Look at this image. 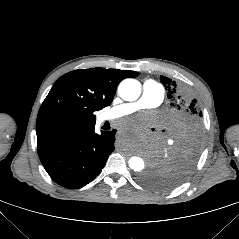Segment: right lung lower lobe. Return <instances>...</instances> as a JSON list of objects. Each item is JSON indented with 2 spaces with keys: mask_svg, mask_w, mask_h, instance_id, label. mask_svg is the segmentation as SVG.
Returning a JSON list of instances; mask_svg holds the SVG:
<instances>
[{
  "mask_svg": "<svg viewBox=\"0 0 239 239\" xmlns=\"http://www.w3.org/2000/svg\"><path fill=\"white\" fill-rule=\"evenodd\" d=\"M116 130L95 132L94 126L37 146L42 165L59 185L75 189L91 182L114 150Z\"/></svg>",
  "mask_w": 239,
  "mask_h": 239,
  "instance_id": "right-lung-lower-lobe-1",
  "label": "right lung lower lobe"
}]
</instances>
